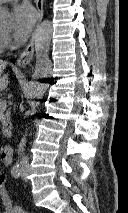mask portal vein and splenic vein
Instances as JSON below:
<instances>
[{"mask_svg":"<svg viewBox=\"0 0 128 213\" xmlns=\"http://www.w3.org/2000/svg\"><path fill=\"white\" fill-rule=\"evenodd\" d=\"M6 107H7L6 103L4 102L0 103V111H4Z\"/></svg>","mask_w":128,"mask_h":213,"instance_id":"obj_1","label":"portal vein and splenic vein"}]
</instances>
